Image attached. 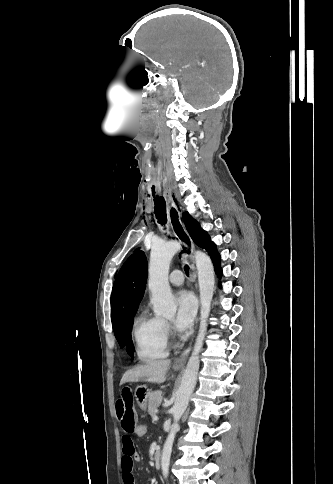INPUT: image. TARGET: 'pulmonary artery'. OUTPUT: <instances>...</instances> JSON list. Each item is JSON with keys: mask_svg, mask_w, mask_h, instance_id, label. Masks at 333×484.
<instances>
[{"mask_svg": "<svg viewBox=\"0 0 333 484\" xmlns=\"http://www.w3.org/2000/svg\"><path fill=\"white\" fill-rule=\"evenodd\" d=\"M169 281L174 286H180L183 283V274L180 270H173L169 276Z\"/></svg>", "mask_w": 333, "mask_h": 484, "instance_id": "pulmonary-artery-1", "label": "pulmonary artery"}]
</instances>
